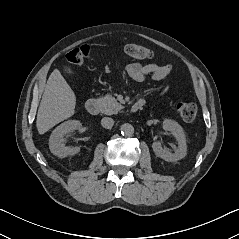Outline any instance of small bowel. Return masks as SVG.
Instances as JSON below:
<instances>
[{
	"mask_svg": "<svg viewBox=\"0 0 239 239\" xmlns=\"http://www.w3.org/2000/svg\"><path fill=\"white\" fill-rule=\"evenodd\" d=\"M115 67H117L116 63ZM170 71V68L166 66H159L156 63L141 64L133 62L127 67V74L136 82H142L146 77H150L154 81H162L168 77ZM167 90L168 87H164L160 94H165ZM139 100H143L145 102L144 98Z\"/></svg>",
	"mask_w": 239,
	"mask_h": 239,
	"instance_id": "c3829d8e",
	"label": "small bowel"
}]
</instances>
